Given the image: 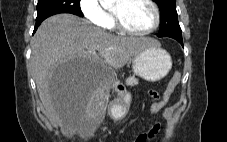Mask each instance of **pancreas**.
<instances>
[{
	"label": "pancreas",
	"instance_id": "pancreas-1",
	"mask_svg": "<svg viewBox=\"0 0 227 142\" xmlns=\"http://www.w3.org/2000/svg\"><path fill=\"white\" fill-rule=\"evenodd\" d=\"M127 86H134L138 84V79L135 76H130L125 80Z\"/></svg>",
	"mask_w": 227,
	"mask_h": 142
}]
</instances>
